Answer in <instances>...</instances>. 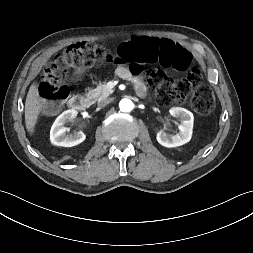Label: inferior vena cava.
I'll use <instances>...</instances> for the list:
<instances>
[{"mask_svg": "<svg viewBox=\"0 0 253 253\" xmlns=\"http://www.w3.org/2000/svg\"><path fill=\"white\" fill-rule=\"evenodd\" d=\"M110 103V99H103V100H101L99 103H98V107L99 108H103V107H105L107 104H109Z\"/></svg>", "mask_w": 253, "mask_h": 253, "instance_id": "602c4592", "label": "inferior vena cava"}]
</instances>
